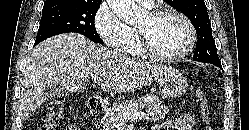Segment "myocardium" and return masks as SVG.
<instances>
[{
	"label": "myocardium",
	"mask_w": 249,
	"mask_h": 130,
	"mask_svg": "<svg viewBox=\"0 0 249 130\" xmlns=\"http://www.w3.org/2000/svg\"><path fill=\"white\" fill-rule=\"evenodd\" d=\"M148 16L152 21H156L165 16H174V17L179 18L180 20L184 22V24L186 25L188 29L189 40L186 46L180 52L172 54V55H166L154 49L150 41L149 34L145 29L137 28V34L139 37L140 45H141L143 53L146 56L157 61L174 62V61H178L186 57L192 51L196 43L197 33H196L194 24L185 14L174 9H157V10L150 11L148 13Z\"/></svg>",
	"instance_id": "f54148a6"
}]
</instances>
